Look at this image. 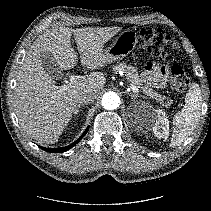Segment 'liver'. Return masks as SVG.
Segmentation results:
<instances>
[{"mask_svg": "<svg viewBox=\"0 0 211 211\" xmlns=\"http://www.w3.org/2000/svg\"><path fill=\"white\" fill-rule=\"evenodd\" d=\"M119 31L120 27L57 26L34 41L17 74L13 93L15 113L28 135L46 144L57 142L77 108V95L89 90L96 96L106 83L105 76L95 72L75 84L57 86L42 64L41 54H51L61 70L74 68L78 62L71 47L74 34L81 64L90 70L102 69L108 63L104 44Z\"/></svg>", "mask_w": 211, "mask_h": 211, "instance_id": "obj_1", "label": "liver"}]
</instances>
